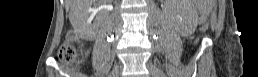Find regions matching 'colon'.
Instances as JSON below:
<instances>
[{
    "label": "colon",
    "instance_id": "obj_1",
    "mask_svg": "<svg viewBox=\"0 0 258 77\" xmlns=\"http://www.w3.org/2000/svg\"><path fill=\"white\" fill-rule=\"evenodd\" d=\"M59 57L62 61L67 63L75 62L79 58V52L75 45V37L73 34H70L68 40L61 46Z\"/></svg>",
    "mask_w": 258,
    "mask_h": 77
}]
</instances>
